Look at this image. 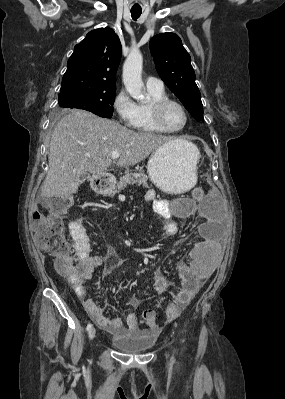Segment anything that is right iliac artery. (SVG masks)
<instances>
[{
	"label": "right iliac artery",
	"instance_id": "1",
	"mask_svg": "<svg viewBox=\"0 0 285 399\" xmlns=\"http://www.w3.org/2000/svg\"><path fill=\"white\" fill-rule=\"evenodd\" d=\"M92 327V324L91 323H88V325H87V331H89V329Z\"/></svg>",
	"mask_w": 285,
	"mask_h": 399
}]
</instances>
